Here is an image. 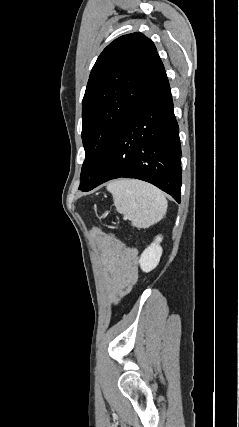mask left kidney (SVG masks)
I'll return each instance as SVG.
<instances>
[{"label":"left kidney","mask_w":239,"mask_h":427,"mask_svg":"<svg viewBox=\"0 0 239 427\" xmlns=\"http://www.w3.org/2000/svg\"><path fill=\"white\" fill-rule=\"evenodd\" d=\"M162 239V236L158 235L154 242L141 254L139 264L142 271L146 273L150 272L159 264L163 252L162 247L160 246Z\"/></svg>","instance_id":"obj_1"}]
</instances>
